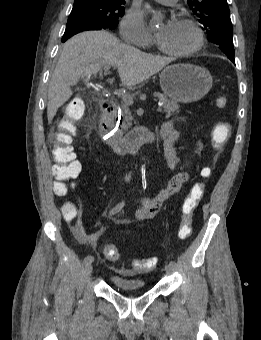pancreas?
I'll list each match as a JSON object with an SVG mask.
<instances>
[{"mask_svg": "<svg viewBox=\"0 0 261 340\" xmlns=\"http://www.w3.org/2000/svg\"><path fill=\"white\" fill-rule=\"evenodd\" d=\"M154 96L157 97L160 102H162L164 113L166 114L167 118L170 117L171 115L179 113V105L177 102L173 100H169L161 93H154ZM122 117H123V122L120 125L121 130L119 131V134L121 135L124 132L128 131L129 127L131 126L132 117H131V113L127 105H123Z\"/></svg>", "mask_w": 261, "mask_h": 340, "instance_id": "obj_1", "label": "pancreas"}]
</instances>
